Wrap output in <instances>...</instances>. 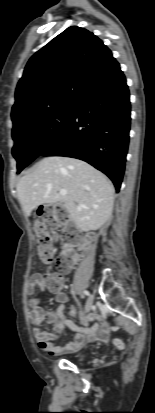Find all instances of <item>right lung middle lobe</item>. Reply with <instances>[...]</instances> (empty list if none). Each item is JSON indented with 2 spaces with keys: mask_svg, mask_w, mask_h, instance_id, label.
<instances>
[{
  "mask_svg": "<svg viewBox=\"0 0 155 413\" xmlns=\"http://www.w3.org/2000/svg\"><path fill=\"white\" fill-rule=\"evenodd\" d=\"M75 108V103L51 109L12 130L14 147L12 154L17 160V173L47 149L64 131Z\"/></svg>",
  "mask_w": 155,
  "mask_h": 413,
  "instance_id": "dd1d6c3e",
  "label": "right lung middle lobe"
}]
</instances>
